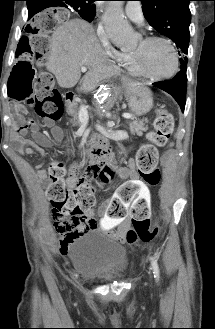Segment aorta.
<instances>
[{"label":"aorta","mask_w":215,"mask_h":329,"mask_svg":"<svg viewBox=\"0 0 215 329\" xmlns=\"http://www.w3.org/2000/svg\"><path fill=\"white\" fill-rule=\"evenodd\" d=\"M122 1H110L103 22L105 30L114 44L119 47H130L134 43V32L122 12ZM108 99L106 93L98 98V103L104 105Z\"/></svg>","instance_id":"762f6f07"}]
</instances>
